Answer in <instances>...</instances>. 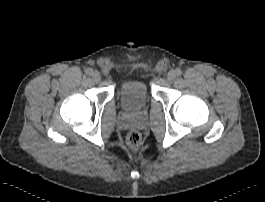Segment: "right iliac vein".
I'll use <instances>...</instances> for the list:
<instances>
[{"label":"right iliac vein","mask_w":265,"mask_h":202,"mask_svg":"<svg viewBox=\"0 0 265 202\" xmlns=\"http://www.w3.org/2000/svg\"><path fill=\"white\" fill-rule=\"evenodd\" d=\"M92 78L95 82H99L101 80V75L98 71H93Z\"/></svg>","instance_id":"right-iliac-vein-1"}]
</instances>
